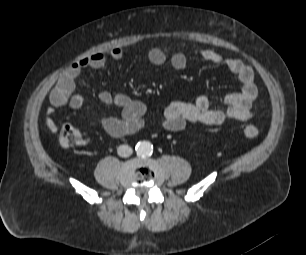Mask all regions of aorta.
Wrapping results in <instances>:
<instances>
[{
  "mask_svg": "<svg viewBox=\"0 0 306 255\" xmlns=\"http://www.w3.org/2000/svg\"><path fill=\"white\" fill-rule=\"evenodd\" d=\"M138 156L147 157L153 153V145L149 141H140L135 147Z\"/></svg>",
  "mask_w": 306,
  "mask_h": 255,
  "instance_id": "762f6f07",
  "label": "aorta"
}]
</instances>
